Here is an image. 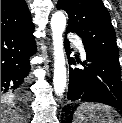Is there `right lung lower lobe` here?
I'll return each mask as SVG.
<instances>
[{"label": "right lung lower lobe", "instance_id": "right-lung-lower-lobe-1", "mask_svg": "<svg viewBox=\"0 0 122 123\" xmlns=\"http://www.w3.org/2000/svg\"><path fill=\"white\" fill-rule=\"evenodd\" d=\"M33 31H1V97L25 100L29 83V58L36 53Z\"/></svg>", "mask_w": 122, "mask_h": 123}]
</instances>
